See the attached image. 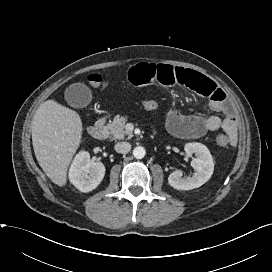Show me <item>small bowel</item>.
I'll return each mask as SVG.
<instances>
[{
    "label": "small bowel",
    "instance_id": "small-bowel-1",
    "mask_svg": "<svg viewBox=\"0 0 272 272\" xmlns=\"http://www.w3.org/2000/svg\"><path fill=\"white\" fill-rule=\"evenodd\" d=\"M129 80L136 86L161 84L184 86L209 99V107L214 112L224 114L199 116L185 115L173 108L166 112V129L178 138H199L210 131L222 129L228 135L230 144H237V126L232 106L224 91L211 79L202 74L165 64L140 63L129 72Z\"/></svg>",
    "mask_w": 272,
    "mask_h": 272
}]
</instances>
